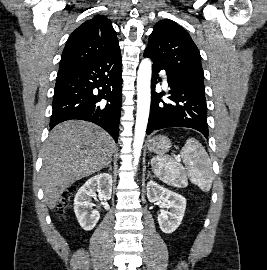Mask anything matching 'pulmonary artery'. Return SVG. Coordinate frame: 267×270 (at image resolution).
Segmentation results:
<instances>
[{"mask_svg": "<svg viewBox=\"0 0 267 270\" xmlns=\"http://www.w3.org/2000/svg\"><path fill=\"white\" fill-rule=\"evenodd\" d=\"M163 84H164V86H165V87H167V86H168V83H167V81H166V80H164V81H163Z\"/></svg>", "mask_w": 267, "mask_h": 270, "instance_id": "1", "label": "pulmonary artery"}]
</instances>
